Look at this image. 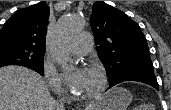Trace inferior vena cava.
<instances>
[{"label": "inferior vena cava", "mask_w": 171, "mask_h": 110, "mask_svg": "<svg viewBox=\"0 0 171 110\" xmlns=\"http://www.w3.org/2000/svg\"><path fill=\"white\" fill-rule=\"evenodd\" d=\"M59 109L60 110H63L64 109V105H63V103L60 101V104H59Z\"/></svg>", "instance_id": "obj_1"}]
</instances>
